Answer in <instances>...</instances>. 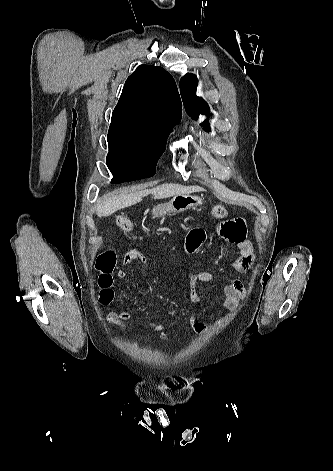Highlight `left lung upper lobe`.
<instances>
[{
	"label": "left lung upper lobe",
	"instance_id": "1",
	"mask_svg": "<svg viewBox=\"0 0 333 471\" xmlns=\"http://www.w3.org/2000/svg\"><path fill=\"white\" fill-rule=\"evenodd\" d=\"M198 79L194 74L187 73L180 81V91L186 112L196 120L199 114L210 116V108L207 102L196 96ZM201 126L208 132L211 131L208 120L201 123Z\"/></svg>",
	"mask_w": 333,
	"mask_h": 471
}]
</instances>
